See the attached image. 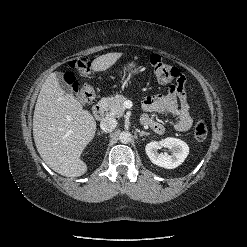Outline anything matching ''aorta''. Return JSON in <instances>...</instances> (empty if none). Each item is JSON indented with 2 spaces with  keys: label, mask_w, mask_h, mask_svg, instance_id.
Returning <instances> with one entry per match:
<instances>
[{
  "label": "aorta",
  "mask_w": 247,
  "mask_h": 247,
  "mask_svg": "<svg viewBox=\"0 0 247 247\" xmlns=\"http://www.w3.org/2000/svg\"><path fill=\"white\" fill-rule=\"evenodd\" d=\"M131 139H132V135L128 131H123L119 135V140L121 143H124V144L129 143Z\"/></svg>",
  "instance_id": "aorta-1"
}]
</instances>
